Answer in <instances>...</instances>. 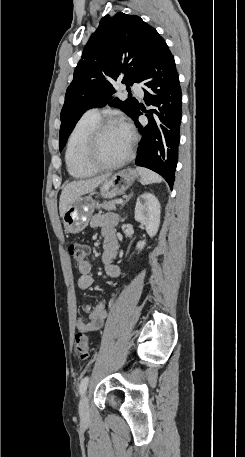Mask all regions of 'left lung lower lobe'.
Here are the masks:
<instances>
[{"label": "left lung lower lobe", "instance_id": "1", "mask_svg": "<svg viewBox=\"0 0 245 457\" xmlns=\"http://www.w3.org/2000/svg\"><path fill=\"white\" fill-rule=\"evenodd\" d=\"M139 82L145 86V111L138 104L131 118L142 134L135 160L137 166L160 174L173 188L180 143L182 95L174 57L162 39L154 47ZM146 113L148 124L141 126L138 117Z\"/></svg>", "mask_w": 245, "mask_h": 457}]
</instances>
